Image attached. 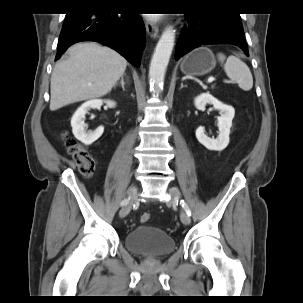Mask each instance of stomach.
Returning <instances> with one entry per match:
<instances>
[{"instance_id": "1", "label": "stomach", "mask_w": 303, "mask_h": 303, "mask_svg": "<svg viewBox=\"0 0 303 303\" xmlns=\"http://www.w3.org/2000/svg\"><path fill=\"white\" fill-rule=\"evenodd\" d=\"M215 66L213 53L206 47H199L182 60L180 69L187 76H202L212 71Z\"/></svg>"}]
</instances>
